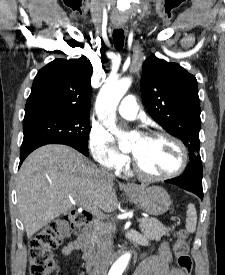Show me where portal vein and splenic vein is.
<instances>
[{
  "label": "portal vein and splenic vein",
  "mask_w": 225,
  "mask_h": 275,
  "mask_svg": "<svg viewBox=\"0 0 225 275\" xmlns=\"http://www.w3.org/2000/svg\"><path fill=\"white\" fill-rule=\"evenodd\" d=\"M85 208L91 210L92 208H95L93 204H91L88 200H85L84 203L82 204ZM146 218H141L139 219L140 222H144Z\"/></svg>",
  "instance_id": "18ae733b"
}]
</instances>
